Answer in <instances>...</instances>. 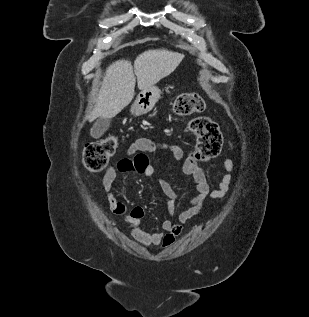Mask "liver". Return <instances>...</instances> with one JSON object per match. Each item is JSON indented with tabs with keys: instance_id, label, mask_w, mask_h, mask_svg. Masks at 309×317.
<instances>
[{
	"instance_id": "obj_1",
	"label": "liver",
	"mask_w": 309,
	"mask_h": 317,
	"mask_svg": "<svg viewBox=\"0 0 309 317\" xmlns=\"http://www.w3.org/2000/svg\"><path fill=\"white\" fill-rule=\"evenodd\" d=\"M183 57L182 54L167 49H151L138 55L134 66L128 60L115 61L106 69L96 104L88 120L115 117L132 101L136 79L140 90L154 87L176 69Z\"/></svg>"
}]
</instances>
